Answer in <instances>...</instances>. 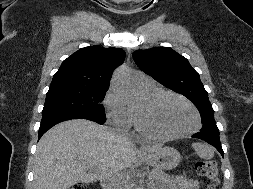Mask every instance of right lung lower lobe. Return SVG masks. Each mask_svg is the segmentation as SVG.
<instances>
[{"label": "right lung lower lobe", "instance_id": "right-lung-lower-lobe-1", "mask_svg": "<svg viewBox=\"0 0 253 189\" xmlns=\"http://www.w3.org/2000/svg\"><path fill=\"white\" fill-rule=\"evenodd\" d=\"M76 118H83V119H89V120H93L96 121L100 124H103L104 121H101L99 119L93 118V117H89V116H80V115H73V114H52V115H46L42 117L41 120V125L39 128V139L41 138V136L47 131L49 130L51 127H53L54 125L65 121V120H69V119H76Z\"/></svg>", "mask_w": 253, "mask_h": 189}]
</instances>
